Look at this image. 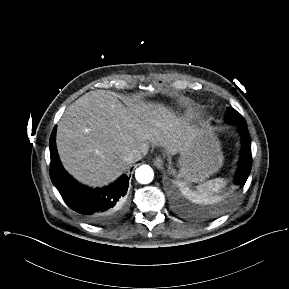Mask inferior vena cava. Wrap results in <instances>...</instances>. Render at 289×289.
Returning a JSON list of instances; mask_svg holds the SVG:
<instances>
[{"mask_svg":"<svg viewBox=\"0 0 289 289\" xmlns=\"http://www.w3.org/2000/svg\"><path fill=\"white\" fill-rule=\"evenodd\" d=\"M148 152V146L147 145H142L139 148L133 149L130 151V153L125 156V160L133 163L136 161H139L142 159L143 156H145Z\"/></svg>","mask_w":289,"mask_h":289,"instance_id":"602c4592","label":"inferior vena cava"}]
</instances>
